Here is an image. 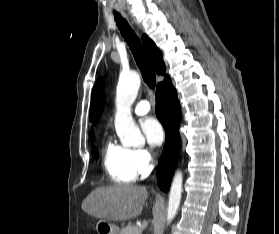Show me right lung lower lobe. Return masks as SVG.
<instances>
[{
    "label": "right lung lower lobe",
    "mask_w": 279,
    "mask_h": 234,
    "mask_svg": "<svg viewBox=\"0 0 279 234\" xmlns=\"http://www.w3.org/2000/svg\"><path fill=\"white\" fill-rule=\"evenodd\" d=\"M155 97L156 115L166 133L165 147L157 168V178L159 188L167 192L179 156L180 134L178 128L181 120L179 101L170 78L157 85Z\"/></svg>",
    "instance_id": "right-lung-lower-lobe-1"
}]
</instances>
